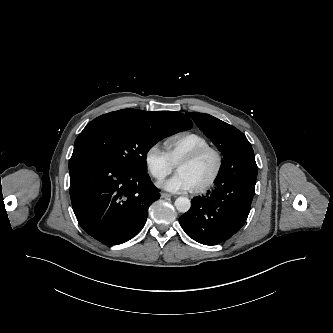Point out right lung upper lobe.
Returning <instances> with one entry per match:
<instances>
[{
	"mask_svg": "<svg viewBox=\"0 0 333 333\" xmlns=\"http://www.w3.org/2000/svg\"><path fill=\"white\" fill-rule=\"evenodd\" d=\"M113 115H123L134 117L135 119L142 120L149 123L163 124V123H180L190 129L192 127L191 120L184 114L179 112H147L138 109H123L111 112Z\"/></svg>",
	"mask_w": 333,
	"mask_h": 333,
	"instance_id": "cb5924a9",
	"label": "right lung upper lobe"
}]
</instances>
